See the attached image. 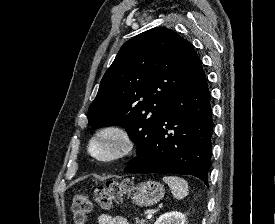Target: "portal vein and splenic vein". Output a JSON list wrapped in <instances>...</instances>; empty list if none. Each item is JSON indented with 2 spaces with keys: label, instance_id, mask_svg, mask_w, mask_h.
Masks as SVG:
<instances>
[{
  "label": "portal vein and splenic vein",
  "instance_id": "18ae733b",
  "mask_svg": "<svg viewBox=\"0 0 275 224\" xmlns=\"http://www.w3.org/2000/svg\"><path fill=\"white\" fill-rule=\"evenodd\" d=\"M146 218H147V219H151V218H152V213H148V215H147Z\"/></svg>",
  "mask_w": 275,
  "mask_h": 224
}]
</instances>
